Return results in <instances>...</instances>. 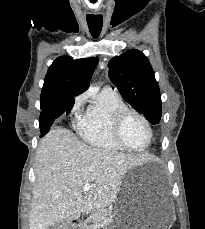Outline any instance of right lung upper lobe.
<instances>
[{
    "label": "right lung upper lobe",
    "instance_id": "1",
    "mask_svg": "<svg viewBox=\"0 0 205 229\" xmlns=\"http://www.w3.org/2000/svg\"><path fill=\"white\" fill-rule=\"evenodd\" d=\"M98 58L74 60L69 56L57 58L49 67L41 93L44 107L67 98H74L89 87Z\"/></svg>",
    "mask_w": 205,
    "mask_h": 229
}]
</instances>
